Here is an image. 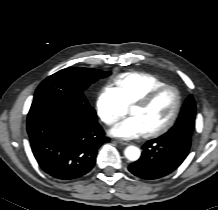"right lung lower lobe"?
<instances>
[{
  "label": "right lung lower lobe",
  "mask_w": 218,
  "mask_h": 210,
  "mask_svg": "<svg viewBox=\"0 0 218 210\" xmlns=\"http://www.w3.org/2000/svg\"><path fill=\"white\" fill-rule=\"evenodd\" d=\"M27 132L39 166L60 180L87 174L95 164L98 148L109 141L92 107L54 99L33 101Z\"/></svg>",
  "instance_id": "98d812e1"
}]
</instances>
